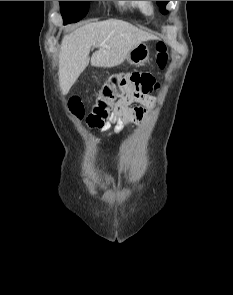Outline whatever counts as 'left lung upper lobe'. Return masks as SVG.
Masks as SVG:
<instances>
[{"label":"left lung upper lobe","mask_w":233,"mask_h":295,"mask_svg":"<svg viewBox=\"0 0 233 295\" xmlns=\"http://www.w3.org/2000/svg\"><path fill=\"white\" fill-rule=\"evenodd\" d=\"M169 1H157V5L159 6L160 8V11L163 13V14H166L167 11L165 10V6L166 4L168 3Z\"/></svg>","instance_id":"1"}]
</instances>
